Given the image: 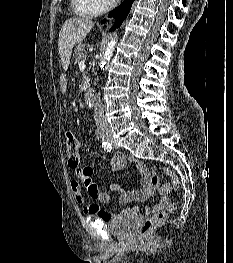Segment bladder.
I'll use <instances>...</instances> for the list:
<instances>
[{"label":"bladder","instance_id":"bladder-1","mask_svg":"<svg viewBox=\"0 0 233 263\" xmlns=\"http://www.w3.org/2000/svg\"><path fill=\"white\" fill-rule=\"evenodd\" d=\"M139 222V216L129 210H123L108 221L107 228L111 234L120 238L132 237Z\"/></svg>","mask_w":233,"mask_h":263}]
</instances>
